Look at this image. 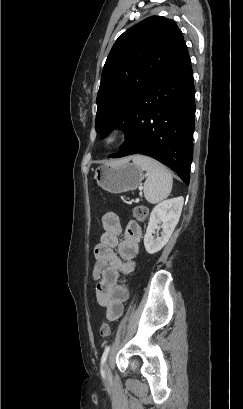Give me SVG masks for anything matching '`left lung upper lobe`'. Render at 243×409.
Masks as SVG:
<instances>
[{"mask_svg": "<svg viewBox=\"0 0 243 409\" xmlns=\"http://www.w3.org/2000/svg\"><path fill=\"white\" fill-rule=\"evenodd\" d=\"M183 41L175 21L151 16L126 30L105 62L95 128L100 136L127 130L151 80Z\"/></svg>", "mask_w": 243, "mask_h": 409, "instance_id": "left-lung-upper-lobe-1", "label": "left lung upper lobe"}]
</instances>
